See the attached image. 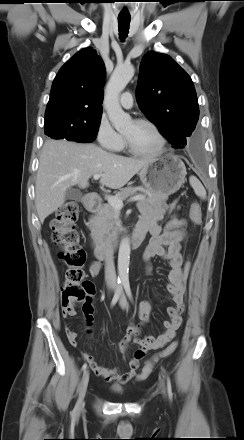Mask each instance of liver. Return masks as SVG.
I'll return each instance as SVG.
<instances>
[{
  "mask_svg": "<svg viewBox=\"0 0 244 440\" xmlns=\"http://www.w3.org/2000/svg\"><path fill=\"white\" fill-rule=\"evenodd\" d=\"M152 160L122 157L90 143L46 141L35 184V205L40 222L64 204L65 192L72 186L85 189L92 176L102 174V185L120 189Z\"/></svg>",
  "mask_w": 244,
  "mask_h": 440,
  "instance_id": "obj_1",
  "label": "liver"
}]
</instances>
